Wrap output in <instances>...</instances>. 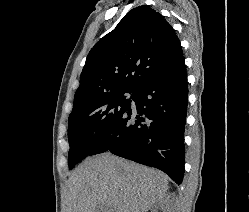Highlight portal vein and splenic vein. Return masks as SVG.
<instances>
[{
  "mask_svg": "<svg viewBox=\"0 0 249 212\" xmlns=\"http://www.w3.org/2000/svg\"><path fill=\"white\" fill-rule=\"evenodd\" d=\"M108 212H112L111 208H108Z\"/></svg>",
  "mask_w": 249,
  "mask_h": 212,
  "instance_id": "portal-vein-and-splenic-vein-1",
  "label": "portal vein and splenic vein"
}]
</instances>
